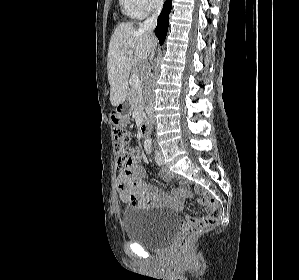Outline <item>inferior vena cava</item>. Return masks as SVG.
Segmentation results:
<instances>
[{
    "mask_svg": "<svg viewBox=\"0 0 299 280\" xmlns=\"http://www.w3.org/2000/svg\"><path fill=\"white\" fill-rule=\"evenodd\" d=\"M163 2H164V0H157L156 1V10H155V12L153 13V15L151 17L146 19L143 23V28H144L145 31H148L149 33H152V31L155 29V27L157 25V18H158L159 14L162 10ZM154 48L152 49V55L150 57V60H152V58H153ZM146 111H147L148 116L150 117L151 122H153V120H152L153 106H152L151 103L148 104V107H147Z\"/></svg>",
    "mask_w": 299,
    "mask_h": 280,
    "instance_id": "1",
    "label": "inferior vena cava"
}]
</instances>
